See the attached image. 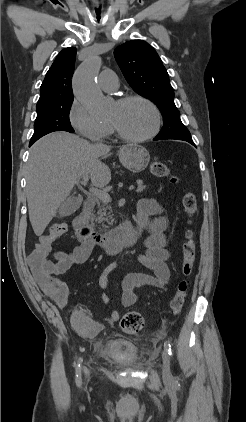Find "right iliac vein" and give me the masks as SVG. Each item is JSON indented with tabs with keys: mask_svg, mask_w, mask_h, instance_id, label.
Segmentation results:
<instances>
[{
	"mask_svg": "<svg viewBox=\"0 0 246 422\" xmlns=\"http://www.w3.org/2000/svg\"><path fill=\"white\" fill-rule=\"evenodd\" d=\"M84 372H85L86 376H88V372H87V370H84Z\"/></svg>",
	"mask_w": 246,
	"mask_h": 422,
	"instance_id": "63e3f726",
	"label": "right iliac vein"
}]
</instances>
